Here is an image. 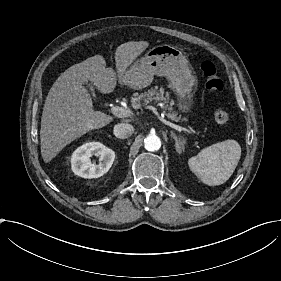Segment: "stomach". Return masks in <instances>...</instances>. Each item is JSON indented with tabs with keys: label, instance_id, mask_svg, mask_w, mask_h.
<instances>
[{
	"label": "stomach",
	"instance_id": "stomach-1",
	"mask_svg": "<svg viewBox=\"0 0 281 281\" xmlns=\"http://www.w3.org/2000/svg\"><path fill=\"white\" fill-rule=\"evenodd\" d=\"M187 63L179 48L168 44L158 45L133 62L123 74L121 83L130 89L141 90L151 85L154 76L166 77L169 86L187 105V99L196 86L195 75Z\"/></svg>",
	"mask_w": 281,
	"mask_h": 281
}]
</instances>
